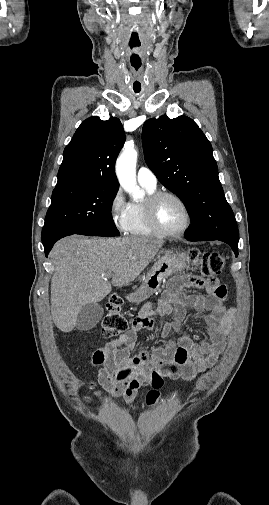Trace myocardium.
I'll return each instance as SVG.
<instances>
[{
    "label": "myocardium",
    "instance_id": "f54148a6",
    "mask_svg": "<svg viewBox=\"0 0 269 505\" xmlns=\"http://www.w3.org/2000/svg\"><path fill=\"white\" fill-rule=\"evenodd\" d=\"M172 198L176 200L184 209L186 213V223L185 225L176 231H167L164 230L158 223L157 217H156V208L158 203L163 199V198ZM143 207H144V213H145V218L146 221L151 228V230L159 236L163 237H178L183 234H185L189 228L192 225V212L186 201L179 196L178 194L171 192V191H156L146 197V199L143 202Z\"/></svg>",
    "mask_w": 269,
    "mask_h": 505
}]
</instances>
